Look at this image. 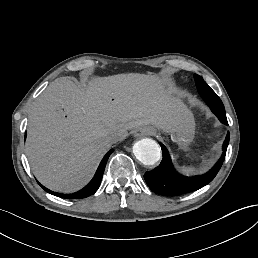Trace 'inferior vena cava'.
<instances>
[{
    "label": "inferior vena cava",
    "instance_id": "602c4592",
    "mask_svg": "<svg viewBox=\"0 0 258 258\" xmlns=\"http://www.w3.org/2000/svg\"><path fill=\"white\" fill-rule=\"evenodd\" d=\"M106 140L111 143H117L120 140L119 134L117 132H109L106 136Z\"/></svg>",
    "mask_w": 258,
    "mask_h": 258
}]
</instances>
